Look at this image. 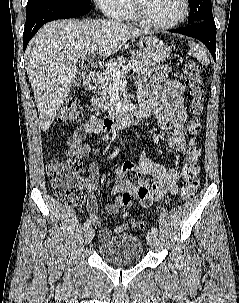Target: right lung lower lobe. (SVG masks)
<instances>
[{
  "label": "right lung lower lobe",
  "mask_w": 239,
  "mask_h": 303,
  "mask_svg": "<svg viewBox=\"0 0 239 303\" xmlns=\"http://www.w3.org/2000/svg\"><path fill=\"white\" fill-rule=\"evenodd\" d=\"M91 10L90 4H48L26 10V23L23 33L24 51L30 39L45 23L64 18L78 17Z\"/></svg>",
  "instance_id": "right-lung-lower-lobe-1"
}]
</instances>
